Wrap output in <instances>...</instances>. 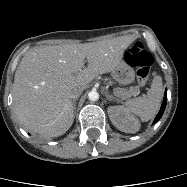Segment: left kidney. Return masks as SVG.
<instances>
[{
	"label": "left kidney",
	"instance_id": "left-kidney-1",
	"mask_svg": "<svg viewBox=\"0 0 187 187\" xmlns=\"http://www.w3.org/2000/svg\"><path fill=\"white\" fill-rule=\"evenodd\" d=\"M108 115L113 125L120 131L136 133L139 130V121L122 106L108 107Z\"/></svg>",
	"mask_w": 187,
	"mask_h": 187
}]
</instances>
